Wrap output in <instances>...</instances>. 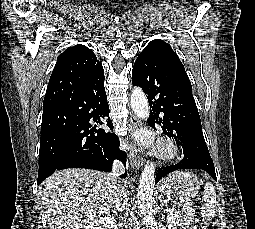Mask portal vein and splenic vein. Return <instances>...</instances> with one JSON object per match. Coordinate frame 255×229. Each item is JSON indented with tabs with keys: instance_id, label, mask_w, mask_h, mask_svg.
Instances as JSON below:
<instances>
[{
	"instance_id": "18ae733b",
	"label": "portal vein and splenic vein",
	"mask_w": 255,
	"mask_h": 229,
	"mask_svg": "<svg viewBox=\"0 0 255 229\" xmlns=\"http://www.w3.org/2000/svg\"><path fill=\"white\" fill-rule=\"evenodd\" d=\"M189 209H190V207H187L185 210L188 211ZM166 211L169 212V214H177V212H178V211H176L174 209H167Z\"/></svg>"
}]
</instances>
